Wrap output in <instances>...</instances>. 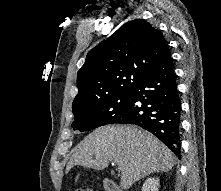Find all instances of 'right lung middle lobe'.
<instances>
[{
    "label": "right lung middle lobe",
    "mask_w": 221,
    "mask_h": 191,
    "mask_svg": "<svg viewBox=\"0 0 221 191\" xmlns=\"http://www.w3.org/2000/svg\"><path fill=\"white\" fill-rule=\"evenodd\" d=\"M133 92L127 91L99 101L74 113L72 127L80 131H90L99 126L117 123L128 111Z\"/></svg>",
    "instance_id": "right-lung-middle-lobe-1"
}]
</instances>
